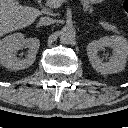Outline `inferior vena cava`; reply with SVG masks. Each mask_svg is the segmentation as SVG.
Returning <instances> with one entry per match:
<instances>
[{"mask_svg": "<svg viewBox=\"0 0 128 128\" xmlns=\"http://www.w3.org/2000/svg\"><path fill=\"white\" fill-rule=\"evenodd\" d=\"M54 22L55 21L53 20V18H50V17H41L39 20V24L41 26H48V25L53 24Z\"/></svg>", "mask_w": 128, "mask_h": 128, "instance_id": "1", "label": "inferior vena cava"}]
</instances>
